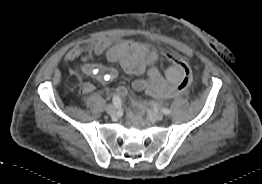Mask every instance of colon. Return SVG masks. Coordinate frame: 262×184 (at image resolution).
<instances>
[{"mask_svg":"<svg viewBox=\"0 0 262 184\" xmlns=\"http://www.w3.org/2000/svg\"><path fill=\"white\" fill-rule=\"evenodd\" d=\"M167 56L171 61L175 62L182 70L181 80L167 94L168 98H175L183 95L187 91V89L192 83L193 74H192L191 66L185 59L173 53H168ZM117 92L121 96H125L127 90L124 86H119L117 88Z\"/></svg>","mask_w":262,"mask_h":184,"instance_id":"colon-1","label":"colon"}]
</instances>
